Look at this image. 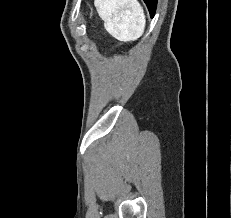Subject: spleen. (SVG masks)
Segmentation results:
<instances>
[{"instance_id":"1","label":"spleen","mask_w":231,"mask_h":218,"mask_svg":"<svg viewBox=\"0 0 231 218\" xmlns=\"http://www.w3.org/2000/svg\"><path fill=\"white\" fill-rule=\"evenodd\" d=\"M94 5L105 29L117 40L127 42L142 36L146 19L137 0H94Z\"/></svg>"}]
</instances>
